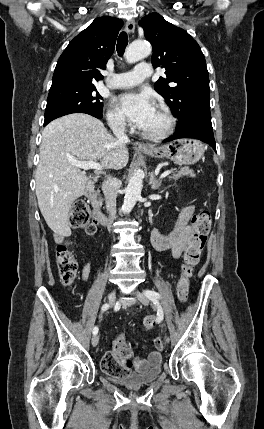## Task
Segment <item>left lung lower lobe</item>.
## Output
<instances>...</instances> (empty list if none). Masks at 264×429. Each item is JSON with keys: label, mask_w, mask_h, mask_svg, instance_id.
<instances>
[{"label": "left lung lower lobe", "mask_w": 264, "mask_h": 429, "mask_svg": "<svg viewBox=\"0 0 264 429\" xmlns=\"http://www.w3.org/2000/svg\"><path fill=\"white\" fill-rule=\"evenodd\" d=\"M180 138H194L208 143L216 152L210 111H199L185 125H177L176 133L165 139L169 142Z\"/></svg>", "instance_id": "1"}]
</instances>
